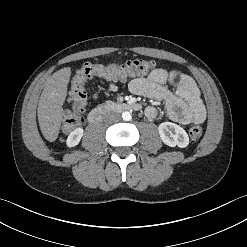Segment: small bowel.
Returning <instances> with one entry per match:
<instances>
[{
  "instance_id": "small-bowel-1",
  "label": "small bowel",
  "mask_w": 247,
  "mask_h": 247,
  "mask_svg": "<svg viewBox=\"0 0 247 247\" xmlns=\"http://www.w3.org/2000/svg\"><path fill=\"white\" fill-rule=\"evenodd\" d=\"M176 89L171 92L166 85ZM132 93L157 101H162L168 116L181 124H200L205 120L206 110L200 97V91L195 81L187 74L177 69H155L145 77H137L129 83ZM117 90V85L112 82L104 91L109 95ZM98 94L94 95L97 98ZM156 106H149L145 115L150 120L159 116Z\"/></svg>"
}]
</instances>
